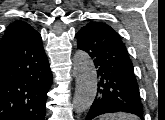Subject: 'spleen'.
Masks as SVG:
<instances>
[{
    "label": "spleen",
    "mask_w": 165,
    "mask_h": 120,
    "mask_svg": "<svg viewBox=\"0 0 165 120\" xmlns=\"http://www.w3.org/2000/svg\"><path fill=\"white\" fill-rule=\"evenodd\" d=\"M100 120H138L136 116L128 113H110L100 117Z\"/></svg>",
    "instance_id": "3e777b00"
}]
</instances>
